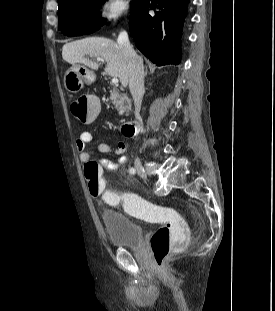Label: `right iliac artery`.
<instances>
[{
	"instance_id": "obj_1",
	"label": "right iliac artery",
	"mask_w": 275,
	"mask_h": 311,
	"mask_svg": "<svg viewBox=\"0 0 275 311\" xmlns=\"http://www.w3.org/2000/svg\"><path fill=\"white\" fill-rule=\"evenodd\" d=\"M129 173H130V174H135V173H136L135 168H130V169H129Z\"/></svg>"
}]
</instances>
